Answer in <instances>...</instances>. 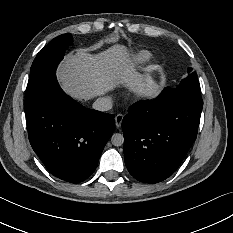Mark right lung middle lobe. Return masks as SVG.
<instances>
[{"mask_svg": "<svg viewBox=\"0 0 233 233\" xmlns=\"http://www.w3.org/2000/svg\"><path fill=\"white\" fill-rule=\"evenodd\" d=\"M71 43L72 36L66 33L54 38L37 54L30 69L25 103L33 100L56 80L57 65Z\"/></svg>", "mask_w": 233, "mask_h": 233, "instance_id": "obj_1", "label": "right lung middle lobe"}]
</instances>
